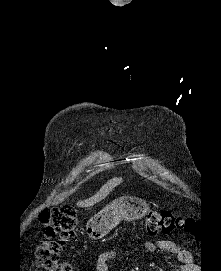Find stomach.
<instances>
[{"mask_svg": "<svg viewBox=\"0 0 221 271\" xmlns=\"http://www.w3.org/2000/svg\"><path fill=\"white\" fill-rule=\"evenodd\" d=\"M142 197H120L115 199L99 213L93 215L86 223V231L91 239L104 237L112 227L118 225L121 219L132 221L146 213L148 202H142Z\"/></svg>", "mask_w": 221, "mask_h": 271, "instance_id": "0dacf381", "label": "stomach"}]
</instances>
